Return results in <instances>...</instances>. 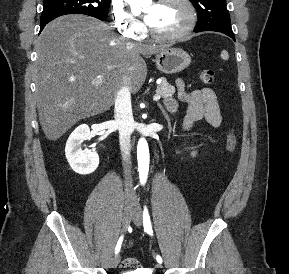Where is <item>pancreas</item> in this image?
I'll use <instances>...</instances> for the list:
<instances>
[{
    "instance_id": "cf45deb5",
    "label": "pancreas",
    "mask_w": 289,
    "mask_h": 274,
    "mask_svg": "<svg viewBox=\"0 0 289 274\" xmlns=\"http://www.w3.org/2000/svg\"><path fill=\"white\" fill-rule=\"evenodd\" d=\"M156 93L166 99L174 95L175 87L170 85L166 79H163L161 84L157 87Z\"/></svg>"
}]
</instances>
